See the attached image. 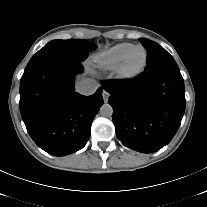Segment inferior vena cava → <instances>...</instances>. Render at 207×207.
I'll return each instance as SVG.
<instances>
[{
  "instance_id": "1",
  "label": "inferior vena cava",
  "mask_w": 207,
  "mask_h": 207,
  "mask_svg": "<svg viewBox=\"0 0 207 207\" xmlns=\"http://www.w3.org/2000/svg\"><path fill=\"white\" fill-rule=\"evenodd\" d=\"M98 88V84L93 79H84L76 85V91L82 95H92Z\"/></svg>"
}]
</instances>
